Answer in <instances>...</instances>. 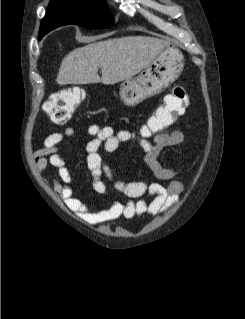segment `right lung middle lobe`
<instances>
[{"mask_svg": "<svg viewBox=\"0 0 245 319\" xmlns=\"http://www.w3.org/2000/svg\"><path fill=\"white\" fill-rule=\"evenodd\" d=\"M47 11L56 25L45 30L40 28V34L66 24H78L93 29L108 28L114 24L105 0L53 1Z\"/></svg>", "mask_w": 245, "mask_h": 319, "instance_id": "right-lung-middle-lobe-1", "label": "right lung middle lobe"}]
</instances>
